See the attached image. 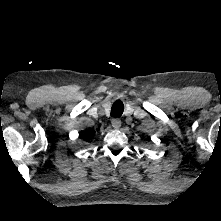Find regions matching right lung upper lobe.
Returning a JSON list of instances; mask_svg holds the SVG:
<instances>
[{"mask_svg": "<svg viewBox=\"0 0 221 221\" xmlns=\"http://www.w3.org/2000/svg\"><path fill=\"white\" fill-rule=\"evenodd\" d=\"M94 133H95V131L87 130V131L84 133V139L89 140V139L94 135Z\"/></svg>", "mask_w": 221, "mask_h": 221, "instance_id": "right-lung-upper-lobe-1", "label": "right lung upper lobe"}]
</instances>
